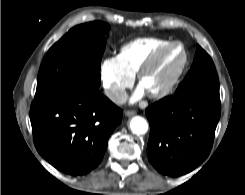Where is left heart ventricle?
Wrapping results in <instances>:
<instances>
[{
	"mask_svg": "<svg viewBox=\"0 0 245 195\" xmlns=\"http://www.w3.org/2000/svg\"><path fill=\"white\" fill-rule=\"evenodd\" d=\"M182 59L179 47L165 53L158 63L143 77L140 87L144 92H152L162 87L178 67Z\"/></svg>",
	"mask_w": 245,
	"mask_h": 195,
	"instance_id": "b2bd125f",
	"label": "left heart ventricle"
}]
</instances>
